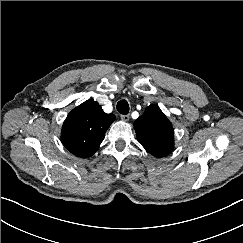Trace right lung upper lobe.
Returning a JSON list of instances; mask_svg holds the SVG:
<instances>
[{
	"mask_svg": "<svg viewBox=\"0 0 243 243\" xmlns=\"http://www.w3.org/2000/svg\"><path fill=\"white\" fill-rule=\"evenodd\" d=\"M114 120L115 115L104 113L97 102L87 100L68 114L62 127V143L75 156L88 158L98 150Z\"/></svg>",
	"mask_w": 243,
	"mask_h": 243,
	"instance_id": "cb5924a9",
	"label": "right lung upper lobe"
}]
</instances>
